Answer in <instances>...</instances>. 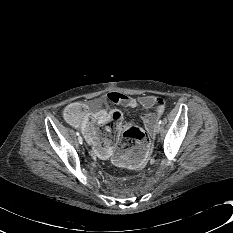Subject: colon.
<instances>
[{"label":"colon","mask_w":233,"mask_h":233,"mask_svg":"<svg viewBox=\"0 0 233 233\" xmlns=\"http://www.w3.org/2000/svg\"><path fill=\"white\" fill-rule=\"evenodd\" d=\"M85 112V107L81 103L72 104L67 110V120L69 123H78ZM108 117L105 116L104 120ZM100 127V126H99ZM121 133L120 136V148H132L138 143H145L148 138L145 132L134 125L121 124L119 127Z\"/></svg>","instance_id":"5ec220e1"}]
</instances>
